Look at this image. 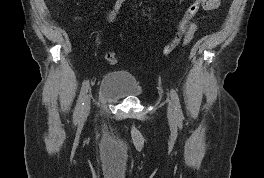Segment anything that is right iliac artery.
<instances>
[{"label": "right iliac artery", "mask_w": 264, "mask_h": 178, "mask_svg": "<svg viewBox=\"0 0 264 178\" xmlns=\"http://www.w3.org/2000/svg\"><path fill=\"white\" fill-rule=\"evenodd\" d=\"M89 89V81H85L82 85L81 91H80V95L74 110V114H73V122L75 124H77L79 122L80 116H81V112H82V108H83V104H84V100L86 97V94L88 92Z\"/></svg>", "instance_id": "82829eb1"}]
</instances>
